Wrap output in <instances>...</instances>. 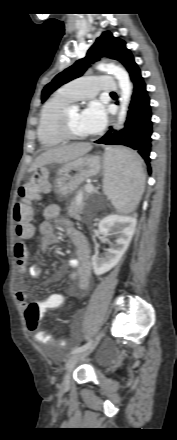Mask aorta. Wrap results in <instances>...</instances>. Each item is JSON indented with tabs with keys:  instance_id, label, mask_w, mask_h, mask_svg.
I'll use <instances>...</instances> for the list:
<instances>
[{
	"instance_id": "obj_1",
	"label": "aorta",
	"mask_w": 177,
	"mask_h": 440,
	"mask_svg": "<svg viewBox=\"0 0 177 440\" xmlns=\"http://www.w3.org/2000/svg\"><path fill=\"white\" fill-rule=\"evenodd\" d=\"M100 71H106L113 74L118 80L120 92V111H119V123L122 124L125 121L128 105L132 95V85L128 73L121 67L114 64H99L96 67ZM75 109L78 107L75 106Z\"/></svg>"
}]
</instances>
